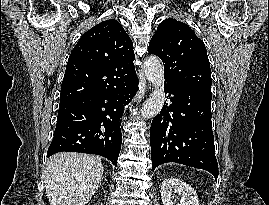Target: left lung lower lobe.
I'll use <instances>...</instances> for the list:
<instances>
[{"mask_svg": "<svg viewBox=\"0 0 269 205\" xmlns=\"http://www.w3.org/2000/svg\"><path fill=\"white\" fill-rule=\"evenodd\" d=\"M164 89L172 103L164 106L151 123L152 170L163 163L175 162L204 169L217 179L211 91L183 90L166 84Z\"/></svg>", "mask_w": 269, "mask_h": 205, "instance_id": "0a47b994", "label": "left lung lower lobe"}]
</instances>
